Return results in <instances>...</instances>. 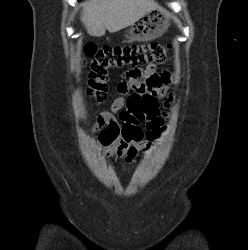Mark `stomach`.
<instances>
[{
    "mask_svg": "<svg viewBox=\"0 0 248 250\" xmlns=\"http://www.w3.org/2000/svg\"><path fill=\"white\" fill-rule=\"evenodd\" d=\"M169 23L165 13L159 9L148 11L137 23L131 25L137 41H151L161 36L168 28Z\"/></svg>",
    "mask_w": 248,
    "mask_h": 250,
    "instance_id": "stomach-1",
    "label": "stomach"
}]
</instances>
